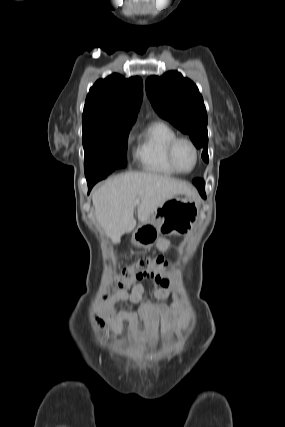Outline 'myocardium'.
Wrapping results in <instances>:
<instances>
[{"instance_id":"myocardium-1","label":"myocardium","mask_w":285,"mask_h":427,"mask_svg":"<svg viewBox=\"0 0 285 427\" xmlns=\"http://www.w3.org/2000/svg\"><path fill=\"white\" fill-rule=\"evenodd\" d=\"M180 142H186V143H188L191 147H192V149H193V151H194V156H195V161H194V165H193V167L189 170V171H182L178 166H177V164H176V162H175V157H174V154H175V149H176V146L180 143ZM167 160H168V163H169V165L177 172V173H179V174H184V175H186V174H190V173H192L195 169H196V167H197V165H198V162H199V150H198V147H197V145L195 144V142L193 141V140H191L190 138H188V137H185V136H177V137H175L170 143H169V145H168V148H167Z\"/></svg>"}]
</instances>
